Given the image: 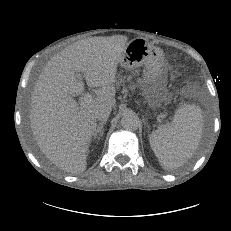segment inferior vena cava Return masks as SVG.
I'll list each match as a JSON object with an SVG mask.
<instances>
[{"label":"inferior vena cava","mask_w":231,"mask_h":231,"mask_svg":"<svg viewBox=\"0 0 231 231\" xmlns=\"http://www.w3.org/2000/svg\"><path fill=\"white\" fill-rule=\"evenodd\" d=\"M110 106H102L96 111V119L99 121H106L111 113Z\"/></svg>","instance_id":"602c4592"}]
</instances>
